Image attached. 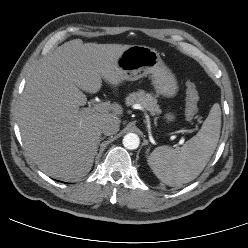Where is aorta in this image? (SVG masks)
Returning <instances> with one entry per match:
<instances>
[{
    "mask_svg": "<svg viewBox=\"0 0 248 248\" xmlns=\"http://www.w3.org/2000/svg\"><path fill=\"white\" fill-rule=\"evenodd\" d=\"M140 144V139L135 133H128L123 138V145L126 149H137Z\"/></svg>",
    "mask_w": 248,
    "mask_h": 248,
    "instance_id": "obj_1",
    "label": "aorta"
}]
</instances>
